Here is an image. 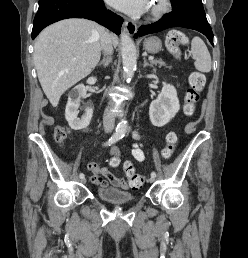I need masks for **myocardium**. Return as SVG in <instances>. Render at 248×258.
Returning a JSON list of instances; mask_svg holds the SVG:
<instances>
[{
	"mask_svg": "<svg viewBox=\"0 0 248 258\" xmlns=\"http://www.w3.org/2000/svg\"><path fill=\"white\" fill-rule=\"evenodd\" d=\"M171 7V0H156L151 6L149 16L151 18L157 19L165 15Z\"/></svg>",
	"mask_w": 248,
	"mask_h": 258,
	"instance_id": "f54148a6",
	"label": "myocardium"
}]
</instances>
